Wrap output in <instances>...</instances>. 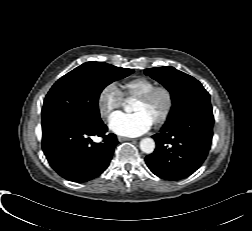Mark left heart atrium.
I'll list each match as a JSON object with an SVG mask.
<instances>
[{"label":"left heart atrium","instance_id":"1","mask_svg":"<svg viewBox=\"0 0 252 231\" xmlns=\"http://www.w3.org/2000/svg\"><path fill=\"white\" fill-rule=\"evenodd\" d=\"M153 122L143 112L117 113L109 120V128L117 135L137 137L150 130Z\"/></svg>","mask_w":252,"mask_h":231}]
</instances>
